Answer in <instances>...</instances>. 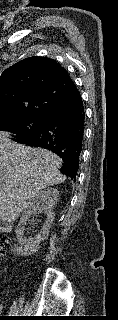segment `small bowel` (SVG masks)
<instances>
[{
	"label": "small bowel",
	"mask_w": 118,
	"mask_h": 320,
	"mask_svg": "<svg viewBox=\"0 0 118 320\" xmlns=\"http://www.w3.org/2000/svg\"><path fill=\"white\" fill-rule=\"evenodd\" d=\"M1 312H2V304L0 303V314H1Z\"/></svg>",
	"instance_id": "1"
}]
</instances>
